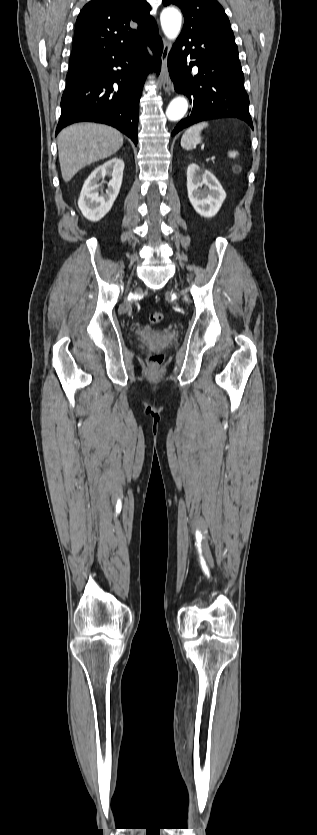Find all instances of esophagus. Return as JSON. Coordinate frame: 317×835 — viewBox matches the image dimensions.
I'll list each match as a JSON object with an SVG mask.
<instances>
[{"mask_svg": "<svg viewBox=\"0 0 317 835\" xmlns=\"http://www.w3.org/2000/svg\"><path fill=\"white\" fill-rule=\"evenodd\" d=\"M170 51V43L166 39L164 40L163 49L161 52V76L160 81L163 86V89L166 92H170L173 89V83L169 75L167 61L168 55Z\"/></svg>", "mask_w": 317, "mask_h": 835, "instance_id": "obj_1", "label": "esophagus"}]
</instances>
